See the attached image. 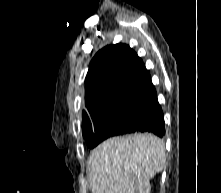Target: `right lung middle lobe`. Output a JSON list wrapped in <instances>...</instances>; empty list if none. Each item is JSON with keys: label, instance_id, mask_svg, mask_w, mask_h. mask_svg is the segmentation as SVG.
I'll return each mask as SVG.
<instances>
[{"label": "right lung middle lobe", "instance_id": "obj_1", "mask_svg": "<svg viewBox=\"0 0 221 193\" xmlns=\"http://www.w3.org/2000/svg\"><path fill=\"white\" fill-rule=\"evenodd\" d=\"M151 110V102L145 100L126 99L102 107L83 118L82 131L87 146L94 148L103 140L122 134Z\"/></svg>", "mask_w": 221, "mask_h": 193}]
</instances>
